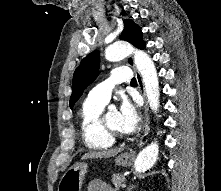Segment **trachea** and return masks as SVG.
I'll use <instances>...</instances> for the list:
<instances>
[{"label": "trachea", "mask_w": 221, "mask_h": 191, "mask_svg": "<svg viewBox=\"0 0 221 191\" xmlns=\"http://www.w3.org/2000/svg\"><path fill=\"white\" fill-rule=\"evenodd\" d=\"M131 83H132V84H136V83H137L136 78H133V79L131 80Z\"/></svg>", "instance_id": "3493384b"}]
</instances>
